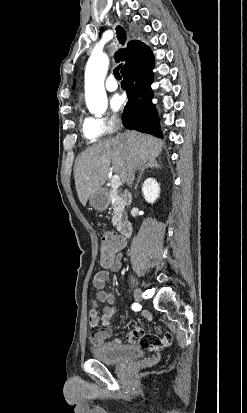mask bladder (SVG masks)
<instances>
[{
    "label": "bladder",
    "instance_id": "31cf9c89",
    "mask_svg": "<svg viewBox=\"0 0 247 413\" xmlns=\"http://www.w3.org/2000/svg\"><path fill=\"white\" fill-rule=\"evenodd\" d=\"M94 358L103 362L120 364L132 359H140L144 351L136 345H122L115 341L106 343L102 348L93 351Z\"/></svg>",
    "mask_w": 247,
    "mask_h": 413
}]
</instances>
